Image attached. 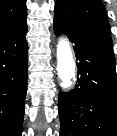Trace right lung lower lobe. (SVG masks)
<instances>
[{
	"mask_svg": "<svg viewBox=\"0 0 117 136\" xmlns=\"http://www.w3.org/2000/svg\"><path fill=\"white\" fill-rule=\"evenodd\" d=\"M27 25L0 38V136H21L27 91Z\"/></svg>",
	"mask_w": 117,
	"mask_h": 136,
	"instance_id": "1",
	"label": "right lung lower lobe"
}]
</instances>
